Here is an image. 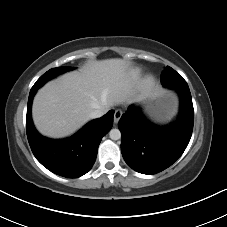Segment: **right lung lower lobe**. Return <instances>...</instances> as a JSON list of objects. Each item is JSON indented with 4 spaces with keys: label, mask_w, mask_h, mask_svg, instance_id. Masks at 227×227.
I'll list each match as a JSON object with an SVG mask.
<instances>
[{
    "label": "right lung lower lobe",
    "mask_w": 227,
    "mask_h": 227,
    "mask_svg": "<svg viewBox=\"0 0 227 227\" xmlns=\"http://www.w3.org/2000/svg\"><path fill=\"white\" fill-rule=\"evenodd\" d=\"M37 89L32 88L30 91L26 116L27 138L34 156L57 175L67 178L84 175L96 160L101 139L112 128L114 111L91 121L70 138L48 139L37 132L31 118L32 100Z\"/></svg>",
    "instance_id": "obj_1"
}]
</instances>
